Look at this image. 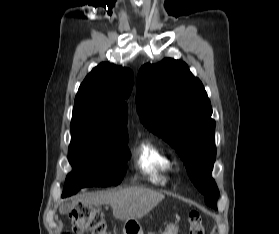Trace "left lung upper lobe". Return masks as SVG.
<instances>
[{
  "label": "left lung upper lobe",
  "instance_id": "left-lung-upper-lobe-1",
  "mask_svg": "<svg viewBox=\"0 0 279 234\" xmlns=\"http://www.w3.org/2000/svg\"><path fill=\"white\" fill-rule=\"evenodd\" d=\"M136 106L141 122L176 150L205 203L217 209L215 121L201 81L180 60L148 63L138 72Z\"/></svg>",
  "mask_w": 279,
  "mask_h": 234
}]
</instances>
